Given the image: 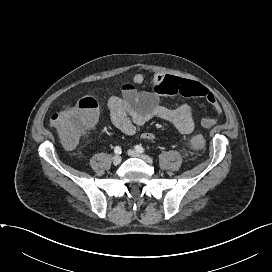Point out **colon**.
<instances>
[{
  "mask_svg": "<svg viewBox=\"0 0 272 272\" xmlns=\"http://www.w3.org/2000/svg\"><path fill=\"white\" fill-rule=\"evenodd\" d=\"M97 102L92 97H71L63 108L51 116V125L58 132L62 142L67 146L77 143L83 132L95 121ZM205 145L201 135L190 140V147L200 151Z\"/></svg>",
  "mask_w": 272,
  "mask_h": 272,
  "instance_id": "colon-1",
  "label": "colon"
}]
</instances>
